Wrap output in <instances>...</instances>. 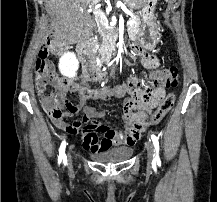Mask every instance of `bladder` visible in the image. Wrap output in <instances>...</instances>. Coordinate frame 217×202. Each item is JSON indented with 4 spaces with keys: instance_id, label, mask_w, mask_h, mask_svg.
I'll use <instances>...</instances> for the list:
<instances>
[{
    "instance_id": "1",
    "label": "bladder",
    "mask_w": 217,
    "mask_h": 202,
    "mask_svg": "<svg viewBox=\"0 0 217 202\" xmlns=\"http://www.w3.org/2000/svg\"><path fill=\"white\" fill-rule=\"evenodd\" d=\"M133 153L132 148L127 149H111L106 151H101L98 153H94L92 155L95 159H101L104 161L114 162V161H122L129 158Z\"/></svg>"
}]
</instances>
